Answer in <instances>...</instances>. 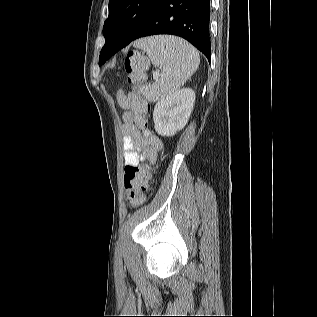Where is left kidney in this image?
<instances>
[{"label":"left kidney","mask_w":317,"mask_h":317,"mask_svg":"<svg viewBox=\"0 0 317 317\" xmlns=\"http://www.w3.org/2000/svg\"><path fill=\"white\" fill-rule=\"evenodd\" d=\"M195 102V92L183 88L160 100L153 112L155 131L161 136H174L187 124Z\"/></svg>","instance_id":"obj_1"}]
</instances>
